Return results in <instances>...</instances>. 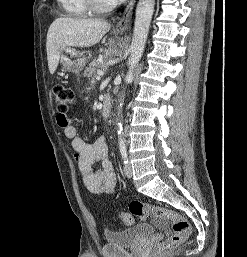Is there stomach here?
<instances>
[{
  "mask_svg": "<svg viewBox=\"0 0 247 257\" xmlns=\"http://www.w3.org/2000/svg\"><path fill=\"white\" fill-rule=\"evenodd\" d=\"M87 64V58L78 50L67 47L60 56V65L64 71L78 74Z\"/></svg>",
  "mask_w": 247,
  "mask_h": 257,
  "instance_id": "0dacf381",
  "label": "stomach"
}]
</instances>
